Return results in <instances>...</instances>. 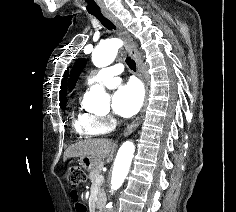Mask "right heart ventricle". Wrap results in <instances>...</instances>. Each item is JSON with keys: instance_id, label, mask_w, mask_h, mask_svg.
<instances>
[{"instance_id": "e07e8e85", "label": "right heart ventricle", "mask_w": 236, "mask_h": 212, "mask_svg": "<svg viewBox=\"0 0 236 212\" xmlns=\"http://www.w3.org/2000/svg\"><path fill=\"white\" fill-rule=\"evenodd\" d=\"M72 125L75 132L82 137H94L104 133L99 117L86 111L74 109Z\"/></svg>"}]
</instances>
